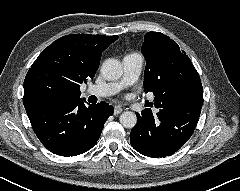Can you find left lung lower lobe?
I'll list each match as a JSON object with an SVG mask.
<instances>
[{
    "mask_svg": "<svg viewBox=\"0 0 240 191\" xmlns=\"http://www.w3.org/2000/svg\"><path fill=\"white\" fill-rule=\"evenodd\" d=\"M196 90L171 104L158 108L153 115L150 108L137 114V124L130 133V143L139 153L154 157H166L178 151L192 136L197 125L203 102Z\"/></svg>",
    "mask_w": 240,
    "mask_h": 191,
    "instance_id": "left-lung-lower-lobe-1",
    "label": "left lung lower lobe"
}]
</instances>
